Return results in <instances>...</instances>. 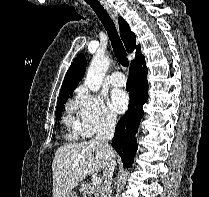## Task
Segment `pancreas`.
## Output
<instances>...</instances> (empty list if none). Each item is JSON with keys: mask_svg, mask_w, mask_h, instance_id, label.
I'll return each mask as SVG.
<instances>
[{"mask_svg": "<svg viewBox=\"0 0 209 197\" xmlns=\"http://www.w3.org/2000/svg\"><path fill=\"white\" fill-rule=\"evenodd\" d=\"M83 197H99L100 185H93L91 182H85L80 188Z\"/></svg>", "mask_w": 209, "mask_h": 197, "instance_id": "cf45deb5", "label": "pancreas"}]
</instances>
